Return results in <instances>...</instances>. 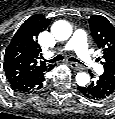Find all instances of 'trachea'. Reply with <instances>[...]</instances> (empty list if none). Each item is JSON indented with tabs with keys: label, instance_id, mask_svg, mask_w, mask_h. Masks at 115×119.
Masks as SVG:
<instances>
[{
	"label": "trachea",
	"instance_id": "trachea-1",
	"mask_svg": "<svg viewBox=\"0 0 115 119\" xmlns=\"http://www.w3.org/2000/svg\"><path fill=\"white\" fill-rule=\"evenodd\" d=\"M63 59H64V57L62 55H57L53 59L46 60V62L55 63V62L61 61ZM69 60L72 61V62H77V63L82 64L79 60H77L76 58H73V57L69 58Z\"/></svg>",
	"mask_w": 115,
	"mask_h": 119
}]
</instances>
